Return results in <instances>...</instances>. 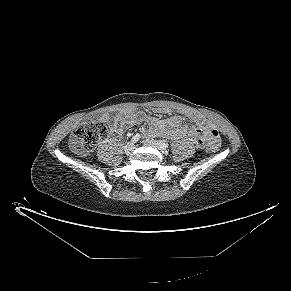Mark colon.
<instances>
[{"instance_id":"colon-1","label":"colon","mask_w":291,"mask_h":291,"mask_svg":"<svg viewBox=\"0 0 291 291\" xmlns=\"http://www.w3.org/2000/svg\"><path fill=\"white\" fill-rule=\"evenodd\" d=\"M109 129L106 122L102 119L83 120L73 131L71 145L79 152L89 153L94 150L97 144L105 141L108 137ZM206 148L214 153L220 148L218 133L207 143Z\"/></svg>"}]
</instances>
